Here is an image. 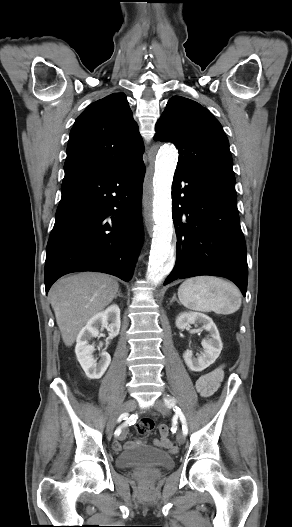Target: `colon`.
<instances>
[{
  "label": "colon",
  "mask_w": 292,
  "mask_h": 527,
  "mask_svg": "<svg viewBox=\"0 0 292 527\" xmlns=\"http://www.w3.org/2000/svg\"><path fill=\"white\" fill-rule=\"evenodd\" d=\"M154 428V422L151 419L145 418L137 423V430L141 434H147ZM160 430V428H159Z\"/></svg>",
  "instance_id": "colon-1"
}]
</instances>
